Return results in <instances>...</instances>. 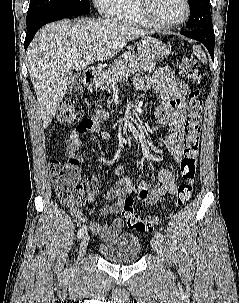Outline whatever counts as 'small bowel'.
<instances>
[{"label":"small bowel","mask_w":239,"mask_h":303,"mask_svg":"<svg viewBox=\"0 0 239 303\" xmlns=\"http://www.w3.org/2000/svg\"><path fill=\"white\" fill-rule=\"evenodd\" d=\"M135 86L141 92H147L153 89L161 104L157 107L156 118L164 126H170V134L162 139V143L173 159L180 162L183 157V101L188 92V86L182 80L173 76L169 67H163L150 76H137ZM105 111H96L84 117L77 127L72 131L66 147V156L75 159L81 163L84 159L79 154L82 145V136L91 133L100 136L103 140H108L110 134L101 129V123L108 118ZM114 174L118 177L116 185L103 194V198L113 201L102 207L98 214L100 216H109L117 214L123 204V196L126 194H136L139 201L144 205H154L160 198L167 194H175L177 191V181L175 175L167 169L158 171V184L151 187L145 181H141L135 187L131 180L124 177L125 167L117 165L113 167ZM99 180L93 176L91 178V192L88 201L92 205L99 196ZM71 214L81 223H86L88 228L104 240H111L121 233L124 221L122 218H115L110 223L88 222L83 216L81 210L75 206L70 207Z\"/></svg>","instance_id":"small-bowel-1"}]
</instances>
